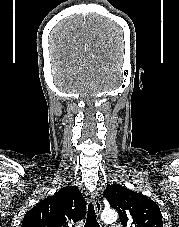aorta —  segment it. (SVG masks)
<instances>
[{
    "label": "aorta",
    "instance_id": "762f6f07",
    "mask_svg": "<svg viewBox=\"0 0 179 227\" xmlns=\"http://www.w3.org/2000/svg\"><path fill=\"white\" fill-rule=\"evenodd\" d=\"M118 214L112 209H105L101 214V219L105 223H112L117 220Z\"/></svg>",
    "mask_w": 179,
    "mask_h": 227
}]
</instances>
